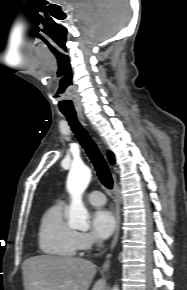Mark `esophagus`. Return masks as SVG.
Instances as JSON below:
<instances>
[{"label":"esophagus","mask_w":187,"mask_h":290,"mask_svg":"<svg viewBox=\"0 0 187 290\" xmlns=\"http://www.w3.org/2000/svg\"><path fill=\"white\" fill-rule=\"evenodd\" d=\"M79 120L81 121L82 124L85 125V119L83 117L82 114L78 115ZM114 194H115V218H116V228H115V233L111 242V246L110 249L112 250L115 245L117 244L118 238H119V234H120V221H121V217H120V203L118 200V196H117V181L116 178L114 177ZM110 258H111V254L107 255V259L103 264L102 270L105 272L109 269L110 266Z\"/></svg>","instance_id":"esophagus-1"}]
</instances>
